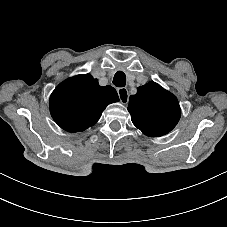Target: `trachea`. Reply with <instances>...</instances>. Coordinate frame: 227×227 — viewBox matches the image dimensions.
<instances>
[{
    "label": "trachea",
    "mask_w": 227,
    "mask_h": 227,
    "mask_svg": "<svg viewBox=\"0 0 227 227\" xmlns=\"http://www.w3.org/2000/svg\"><path fill=\"white\" fill-rule=\"evenodd\" d=\"M113 84L117 87H124L126 85V75L122 71L116 72L113 78Z\"/></svg>",
    "instance_id": "1"
}]
</instances>
